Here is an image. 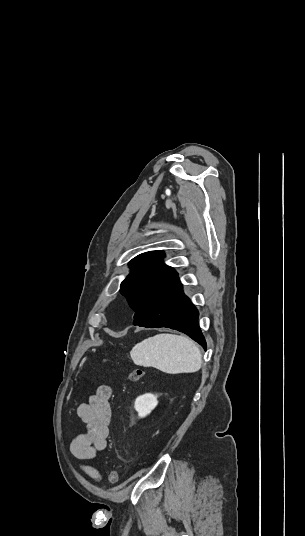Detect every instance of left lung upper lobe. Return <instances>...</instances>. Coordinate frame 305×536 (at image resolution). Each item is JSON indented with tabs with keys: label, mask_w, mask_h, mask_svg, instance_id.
Listing matches in <instances>:
<instances>
[{
	"label": "left lung upper lobe",
	"mask_w": 305,
	"mask_h": 536,
	"mask_svg": "<svg viewBox=\"0 0 305 536\" xmlns=\"http://www.w3.org/2000/svg\"><path fill=\"white\" fill-rule=\"evenodd\" d=\"M162 251L138 255L129 263L131 273L121 283L120 292L136 311L147 299L178 278L177 272L163 263Z\"/></svg>",
	"instance_id": "obj_1"
}]
</instances>
